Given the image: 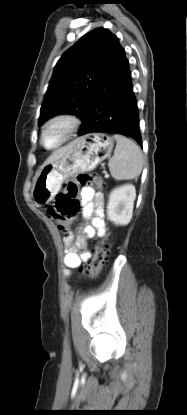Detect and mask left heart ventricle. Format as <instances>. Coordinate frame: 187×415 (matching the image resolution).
I'll return each instance as SVG.
<instances>
[{
  "mask_svg": "<svg viewBox=\"0 0 187 415\" xmlns=\"http://www.w3.org/2000/svg\"><path fill=\"white\" fill-rule=\"evenodd\" d=\"M64 133V126L61 124L53 125L45 135V144L52 146L57 143Z\"/></svg>",
  "mask_w": 187,
  "mask_h": 415,
  "instance_id": "left-heart-ventricle-1",
  "label": "left heart ventricle"
}]
</instances>
